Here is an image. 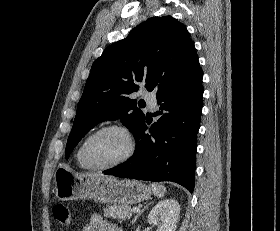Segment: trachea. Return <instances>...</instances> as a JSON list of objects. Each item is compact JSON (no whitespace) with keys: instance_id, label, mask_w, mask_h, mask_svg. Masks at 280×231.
I'll return each mask as SVG.
<instances>
[{"instance_id":"obj_1","label":"trachea","mask_w":280,"mask_h":231,"mask_svg":"<svg viewBox=\"0 0 280 231\" xmlns=\"http://www.w3.org/2000/svg\"><path fill=\"white\" fill-rule=\"evenodd\" d=\"M141 108H144L145 107V104H142V105H139Z\"/></svg>"}]
</instances>
